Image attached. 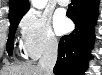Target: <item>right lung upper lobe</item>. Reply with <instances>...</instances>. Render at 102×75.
Returning <instances> with one entry per match:
<instances>
[{"instance_id":"right-lung-upper-lobe-1","label":"right lung upper lobe","mask_w":102,"mask_h":75,"mask_svg":"<svg viewBox=\"0 0 102 75\" xmlns=\"http://www.w3.org/2000/svg\"><path fill=\"white\" fill-rule=\"evenodd\" d=\"M29 6L28 0H10L9 17L27 12Z\"/></svg>"}]
</instances>
